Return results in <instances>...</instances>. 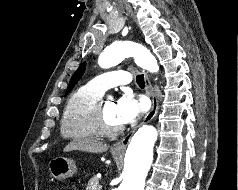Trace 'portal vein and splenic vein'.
<instances>
[{"label":"portal vein and splenic vein","mask_w":238,"mask_h":190,"mask_svg":"<svg viewBox=\"0 0 238 190\" xmlns=\"http://www.w3.org/2000/svg\"><path fill=\"white\" fill-rule=\"evenodd\" d=\"M98 188H99V190H102V186L101 185Z\"/></svg>","instance_id":"18ae733b"}]
</instances>
